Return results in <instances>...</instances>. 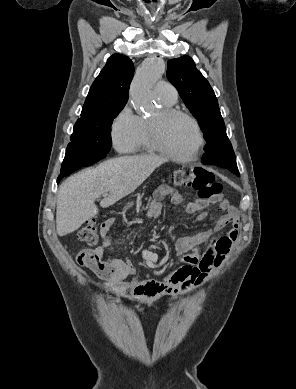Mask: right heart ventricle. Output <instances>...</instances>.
<instances>
[{
  "instance_id": "obj_1",
  "label": "right heart ventricle",
  "mask_w": 296,
  "mask_h": 389,
  "mask_svg": "<svg viewBox=\"0 0 296 389\" xmlns=\"http://www.w3.org/2000/svg\"><path fill=\"white\" fill-rule=\"evenodd\" d=\"M161 101L164 104V106H169V107H172L176 102V101H168L162 98ZM139 123H140L139 134L137 137L135 147L132 151L135 153L153 152L154 149L152 148L148 137L147 120L139 117Z\"/></svg>"
}]
</instances>
